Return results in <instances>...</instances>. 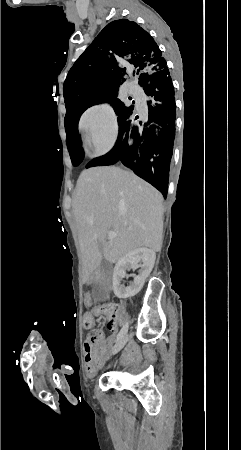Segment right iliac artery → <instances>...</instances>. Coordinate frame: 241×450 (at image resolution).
I'll use <instances>...</instances> for the list:
<instances>
[{"mask_svg":"<svg viewBox=\"0 0 241 450\" xmlns=\"http://www.w3.org/2000/svg\"><path fill=\"white\" fill-rule=\"evenodd\" d=\"M127 331H128V323H126L120 330V332L117 336V341L120 340L126 334Z\"/></svg>","mask_w":241,"mask_h":450,"instance_id":"82829eb1","label":"right iliac artery"}]
</instances>
